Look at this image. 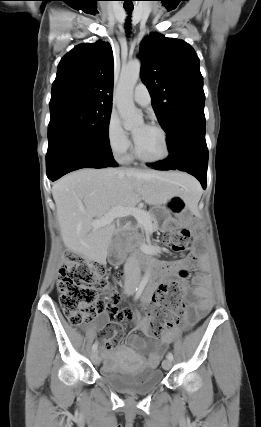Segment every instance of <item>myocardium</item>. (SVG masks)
Listing matches in <instances>:
<instances>
[{"mask_svg":"<svg viewBox=\"0 0 261 427\" xmlns=\"http://www.w3.org/2000/svg\"><path fill=\"white\" fill-rule=\"evenodd\" d=\"M149 127L154 128L161 134L164 142V149H165L164 154L161 157L154 158V159L145 158L138 153L136 149V144H134L133 151H132L133 157L139 162L144 164H156V163L163 162L170 156V152H171L168 134L166 130L159 124L152 123L149 125Z\"/></svg>","mask_w":261,"mask_h":427,"instance_id":"1","label":"myocardium"}]
</instances>
